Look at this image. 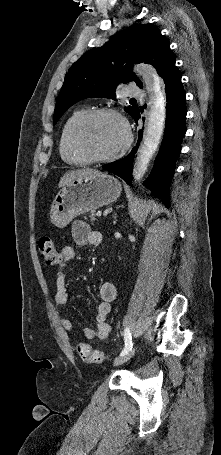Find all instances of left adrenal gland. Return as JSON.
Listing matches in <instances>:
<instances>
[{"label":"left adrenal gland","instance_id":"a2214340","mask_svg":"<svg viewBox=\"0 0 221 455\" xmlns=\"http://www.w3.org/2000/svg\"><path fill=\"white\" fill-rule=\"evenodd\" d=\"M113 218H114V224H116V222H117V214L116 213L114 214Z\"/></svg>","mask_w":221,"mask_h":455}]
</instances>
